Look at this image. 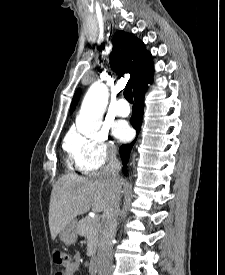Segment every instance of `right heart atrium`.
I'll return each mask as SVG.
<instances>
[{"mask_svg": "<svg viewBox=\"0 0 225 275\" xmlns=\"http://www.w3.org/2000/svg\"><path fill=\"white\" fill-rule=\"evenodd\" d=\"M66 148L76 167L83 172L100 169L115 158V147L104 129L89 135L71 132Z\"/></svg>", "mask_w": 225, "mask_h": 275, "instance_id": "right-heart-atrium-1", "label": "right heart atrium"}]
</instances>
